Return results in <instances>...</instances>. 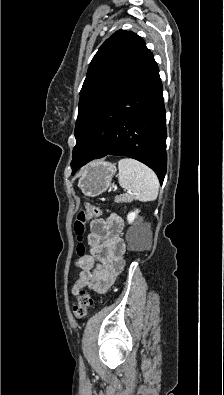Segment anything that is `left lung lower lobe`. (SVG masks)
Here are the masks:
<instances>
[{
	"instance_id": "1",
	"label": "left lung lower lobe",
	"mask_w": 224,
	"mask_h": 395,
	"mask_svg": "<svg viewBox=\"0 0 224 395\" xmlns=\"http://www.w3.org/2000/svg\"><path fill=\"white\" fill-rule=\"evenodd\" d=\"M162 91L152 55L104 109L89 148L72 174L93 159L121 155L149 166L162 184L167 167Z\"/></svg>"
}]
</instances>
